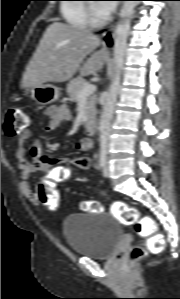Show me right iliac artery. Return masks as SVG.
<instances>
[{"mask_svg": "<svg viewBox=\"0 0 180 299\" xmlns=\"http://www.w3.org/2000/svg\"><path fill=\"white\" fill-rule=\"evenodd\" d=\"M107 161V151L102 149L100 151V159H99V165L100 167H104Z\"/></svg>", "mask_w": 180, "mask_h": 299, "instance_id": "82829eb1", "label": "right iliac artery"}]
</instances>
